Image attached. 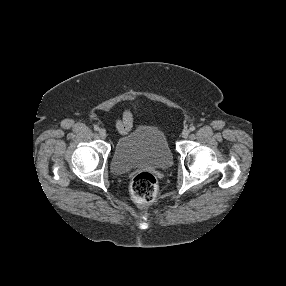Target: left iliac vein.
<instances>
[{
    "instance_id": "4c4485c4",
    "label": "left iliac vein",
    "mask_w": 286,
    "mask_h": 286,
    "mask_svg": "<svg viewBox=\"0 0 286 286\" xmlns=\"http://www.w3.org/2000/svg\"><path fill=\"white\" fill-rule=\"evenodd\" d=\"M190 131L187 129H184L181 133V137L186 139L189 136Z\"/></svg>"
}]
</instances>
